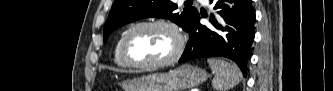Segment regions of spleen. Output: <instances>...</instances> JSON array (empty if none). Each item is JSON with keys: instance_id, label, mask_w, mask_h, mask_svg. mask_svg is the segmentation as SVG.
Here are the masks:
<instances>
[{"instance_id": "1", "label": "spleen", "mask_w": 333, "mask_h": 91, "mask_svg": "<svg viewBox=\"0 0 333 91\" xmlns=\"http://www.w3.org/2000/svg\"><path fill=\"white\" fill-rule=\"evenodd\" d=\"M207 62L214 74L212 86L216 91H228L242 80V73L236 64L213 58Z\"/></svg>"}]
</instances>
